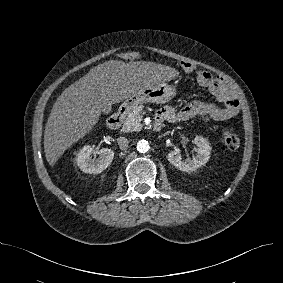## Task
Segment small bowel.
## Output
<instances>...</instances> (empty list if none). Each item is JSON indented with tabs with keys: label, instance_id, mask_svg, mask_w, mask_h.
<instances>
[{
	"label": "small bowel",
	"instance_id": "obj_1",
	"mask_svg": "<svg viewBox=\"0 0 283 283\" xmlns=\"http://www.w3.org/2000/svg\"><path fill=\"white\" fill-rule=\"evenodd\" d=\"M185 65L187 66L186 71L192 72L194 70V67L190 64ZM196 77L200 85L211 91L217 103L194 101L186 104L178 111L169 106L163 107L156 114L162 122L178 123L194 118L205 121H220L231 118L238 113L239 101L219 77L205 70L196 71Z\"/></svg>",
	"mask_w": 283,
	"mask_h": 283
}]
</instances>
